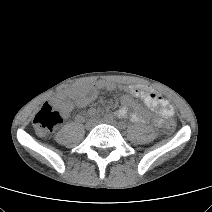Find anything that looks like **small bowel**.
I'll list each match as a JSON object with an SVG mask.
<instances>
[{
  "label": "small bowel",
  "mask_w": 212,
  "mask_h": 212,
  "mask_svg": "<svg viewBox=\"0 0 212 212\" xmlns=\"http://www.w3.org/2000/svg\"><path fill=\"white\" fill-rule=\"evenodd\" d=\"M116 88V83L109 80H98L91 83L80 84L62 95L56 104L62 116L68 117L75 106L85 107L89 105L100 90L113 91ZM120 89L124 94L120 98L121 105L115 112V116L118 118L126 117L129 108L132 107L135 110L130 116L133 122L145 123L151 119L155 125L161 126L165 119L172 118L175 114L169 102L153 90L134 85H124L121 86ZM135 98L142 100L151 109L158 108L159 115L151 117L149 113L141 110V108L135 104ZM83 117L84 114L82 113L77 116L79 120H82Z\"/></svg>",
  "instance_id": "obj_1"
}]
</instances>
